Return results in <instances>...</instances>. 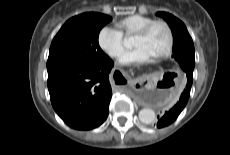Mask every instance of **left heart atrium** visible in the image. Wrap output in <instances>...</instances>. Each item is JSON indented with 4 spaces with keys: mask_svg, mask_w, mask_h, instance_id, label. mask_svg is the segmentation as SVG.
<instances>
[{
    "mask_svg": "<svg viewBox=\"0 0 230 155\" xmlns=\"http://www.w3.org/2000/svg\"><path fill=\"white\" fill-rule=\"evenodd\" d=\"M152 54L145 47H138L134 50L125 52L119 59L120 64H143L152 59Z\"/></svg>",
    "mask_w": 230,
    "mask_h": 155,
    "instance_id": "left-heart-atrium-1",
    "label": "left heart atrium"
}]
</instances>
